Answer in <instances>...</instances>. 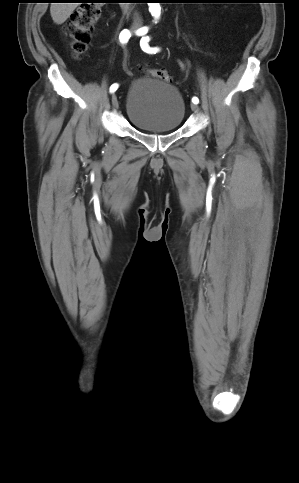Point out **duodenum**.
<instances>
[{
  "mask_svg": "<svg viewBox=\"0 0 299 483\" xmlns=\"http://www.w3.org/2000/svg\"><path fill=\"white\" fill-rule=\"evenodd\" d=\"M125 3H131L130 1H125ZM125 11L129 14L131 12L130 6H125Z\"/></svg>",
  "mask_w": 299,
  "mask_h": 483,
  "instance_id": "1",
  "label": "duodenum"
}]
</instances>
